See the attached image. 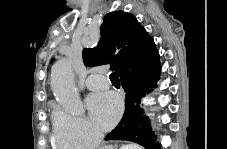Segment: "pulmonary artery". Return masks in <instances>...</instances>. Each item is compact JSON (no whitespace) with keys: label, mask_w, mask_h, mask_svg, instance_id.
Listing matches in <instances>:
<instances>
[{"label":"pulmonary artery","mask_w":227,"mask_h":149,"mask_svg":"<svg viewBox=\"0 0 227 149\" xmlns=\"http://www.w3.org/2000/svg\"><path fill=\"white\" fill-rule=\"evenodd\" d=\"M108 84V79L100 74H90L86 80L87 87L95 91L107 88Z\"/></svg>","instance_id":"e3ab8cb5"}]
</instances>
